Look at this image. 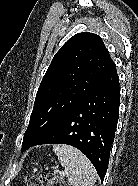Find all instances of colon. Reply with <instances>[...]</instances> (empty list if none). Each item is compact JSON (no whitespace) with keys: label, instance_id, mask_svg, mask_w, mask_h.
<instances>
[{"label":"colon","instance_id":"5ec220e1","mask_svg":"<svg viewBox=\"0 0 138 186\" xmlns=\"http://www.w3.org/2000/svg\"><path fill=\"white\" fill-rule=\"evenodd\" d=\"M67 186L65 181L56 174H48L45 172L39 173L32 177L27 186Z\"/></svg>","mask_w":138,"mask_h":186}]
</instances>
